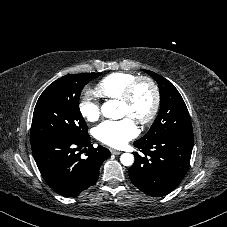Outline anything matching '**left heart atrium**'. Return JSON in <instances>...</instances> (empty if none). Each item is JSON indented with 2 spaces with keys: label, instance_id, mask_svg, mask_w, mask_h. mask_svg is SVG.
Returning <instances> with one entry per match:
<instances>
[{
  "label": "left heart atrium",
  "instance_id": "1",
  "mask_svg": "<svg viewBox=\"0 0 227 227\" xmlns=\"http://www.w3.org/2000/svg\"><path fill=\"white\" fill-rule=\"evenodd\" d=\"M138 130L130 118L105 120L95 128L96 138L105 145L114 148L124 147L136 137Z\"/></svg>",
  "mask_w": 227,
  "mask_h": 227
}]
</instances>
